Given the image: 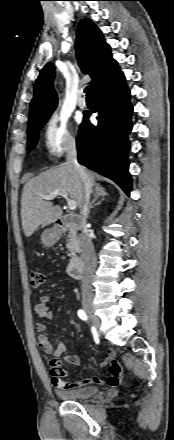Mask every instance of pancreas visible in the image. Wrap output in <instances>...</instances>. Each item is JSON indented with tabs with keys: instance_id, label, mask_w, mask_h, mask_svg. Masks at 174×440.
Listing matches in <instances>:
<instances>
[{
	"instance_id": "pancreas-1",
	"label": "pancreas",
	"mask_w": 174,
	"mask_h": 440,
	"mask_svg": "<svg viewBox=\"0 0 174 440\" xmlns=\"http://www.w3.org/2000/svg\"><path fill=\"white\" fill-rule=\"evenodd\" d=\"M66 242V247L70 251V256L74 257L75 254L78 252L79 247V238L74 231H69Z\"/></svg>"
}]
</instances>
